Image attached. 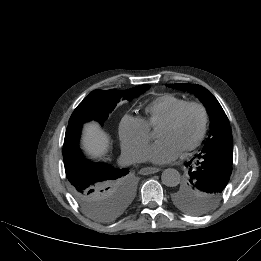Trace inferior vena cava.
<instances>
[{
  "instance_id": "1",
  "label": "inferior vena cava",
  "mask_w": 261,
  "mask_h": 261,
  "mask_svg": "<svg viewBox=\"0 0 261 261\" xmlns=\"http://www.w3.org/2000/svg\"><path fill=\"white\" fill-rule=\"evenodd\" d=\"M143 161V157L140 153L131 150H122L121 156L119 158V163L121 165H131Z\"/></svg>"
}]
</instances>
